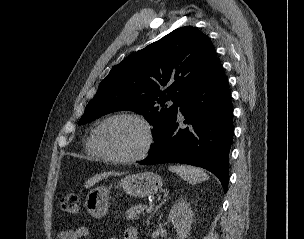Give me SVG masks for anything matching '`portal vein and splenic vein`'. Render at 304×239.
<instances>
[{
  "label": "portal vein and splenic vein",
  "mask_w": 304,
  "mask_h": 239,
  "mask_svg": "<svg viewBox=\"0 0 304 239\" xmlns=\"http://www.w3.org/2000/svg\"><path fill=\"white\" fill-rule=\"evenodd\" d=\"M154 205H150L149 208L146 209L147 213H150L153 210Z\"/></svg>",
  "instance_id": "obj_1"
}]
</instances>
